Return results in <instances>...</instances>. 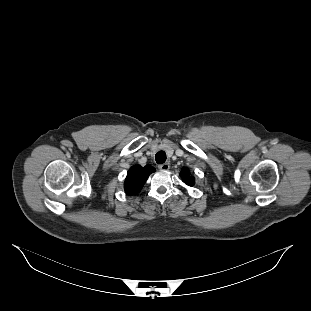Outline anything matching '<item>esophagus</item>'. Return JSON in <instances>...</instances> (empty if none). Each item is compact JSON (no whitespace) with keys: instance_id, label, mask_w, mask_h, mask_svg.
Returning a JSON list of instances; mask_svg holds the SVG:
<instances>
[{"instance_id":"obj_1","label":"esophagus","mask_w":311,"mask_h":311,"mask_svg":"<svg viewBox=\"0 0 311 311\" xmlns=\"http://www.w3.org/2000/svg\"><path fill=\"white\" fill-rule=\"evenodd\" d=\"M158 168L162 171H168L170 168V165L168 163H163V164H160Z\"/></svg>"}]
</instances>
